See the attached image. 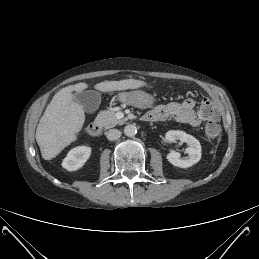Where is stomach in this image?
<instances>
[{"mask_svg": "<svg viewBox=\"0 0 259 259\" xmlns=\"http://www.w3.org/2000/svg\"><path fill=\"white\" fill-rule=\"evenodd\" d=\"M116 99L138 108H149L154 103V98L150 94L140 90L120 93Z\"/></svg>", "mask_w": 259, "mask_h": 259, "instance_id": "1", "label": "stomach"}]
</instances>
